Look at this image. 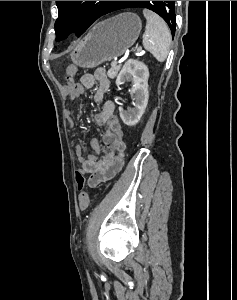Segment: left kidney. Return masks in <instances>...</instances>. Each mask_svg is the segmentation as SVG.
Returning a JSON list of instances; mask_svg holds the SVG:
<instances>
[{"mask_svg":"<svg viewBox=\"0 0 237 300\" xmlns=\"http://www.w3.org/2000/svg\"><path fill=\"white\" fill-rule=\"evenodd\" d=\"M148 79L149 69L147 65H144L141 61H135V59L126 61L116 79L117 87L121 83H125V81H130L131 83L132 89L129 93H133V99H135L134 109L124 111L122 107H119V115L123 123L128 125V127H133L140 121L147 107L149 99Z\"/></svg>","mask_w":237,"mask_h":300,"instance_id":"left-kidney-1","label":"left kidney"}]
</instances>
